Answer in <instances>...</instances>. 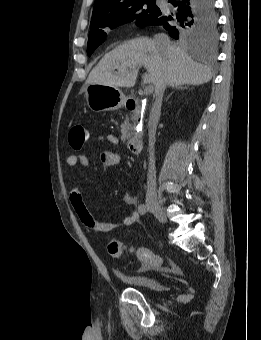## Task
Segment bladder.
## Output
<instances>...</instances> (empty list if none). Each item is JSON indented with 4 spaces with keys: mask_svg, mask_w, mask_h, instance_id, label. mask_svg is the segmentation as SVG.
I'll use <instances>...</instances> for the list:
<instances>
[{
    "mask_svg": "<svg viewBox=\"0 0 261 340\" xmlns=\"http://www.w3.org/2000/svg\"><path fill=\"white\" fill-rule=\"evenodd\" d=\"M119 279L128 283L131 287L143 288L152 291H162L164 286L160 279L154 276H128L122 273H118Z\"/></svg>",
    "mask_w": 261,
    "mask_h": 340,
    "instance_id": "bladder-1",
    "label": "bladder"
}]
</instances>
